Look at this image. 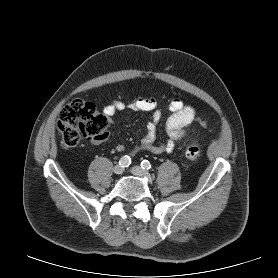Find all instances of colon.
<instances>
[{
	"instance_id": "colon-1",
	"label": "colon",
	"mask_w": 278,
	"mask_h": 278,
	"mask_svg": "<svg viewBox=\"0 0 278 278\" xmlns=\"http://www.w3.org/2000/svg\"><path fill=\"white\" fill-rule=\"evenodd\" d=\"M107 125L108 118L93 103L73 100L62 108L57 122L61 145L71 148L82 139L98 140L104 135ZM185 156L190 161H197L201 156L199 146L196 143L188 144Z\"/></svg>"
}]
</instances>
